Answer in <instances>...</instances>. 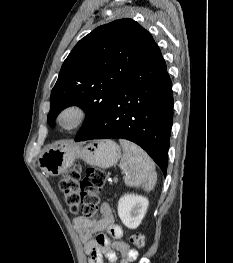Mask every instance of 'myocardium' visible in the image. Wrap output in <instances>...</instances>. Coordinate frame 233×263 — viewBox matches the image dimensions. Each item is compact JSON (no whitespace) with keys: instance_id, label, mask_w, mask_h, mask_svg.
Masks as SVG:
<instances>
[{"instance_id":"obj_1","label":"myocardium","mask_w":233,"mask_h":263,"mask_svg":"<svg viewBox=\"0 0 233 263\" xmlns=\"http://www.w3.org/2000/svg\"><path fill=\"white\" fill-rule=\"evenodd\" d=\"M87 118L86 110L77 104L65 106L57 115L56 122L66 131H72L83 125ZM67 119L69 121H67Z\"/></svg>"}]
</instances>
